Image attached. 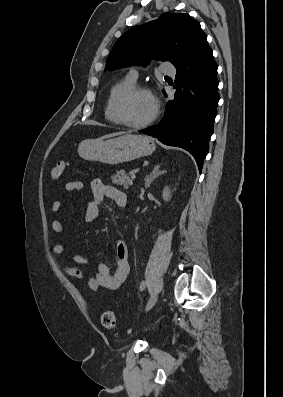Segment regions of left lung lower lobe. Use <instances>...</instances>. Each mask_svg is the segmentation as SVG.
<instances>
[{
  "label": "left lung lower lobe",
  "instance_id": "obj_1",
  "mask_svg": "<svg viewBox=\"0 0 283 397\" xmlns=\"http://www.w3.org/2000/svg\"><path fill=\"white\" fill-rule=\"evenodd\" d=\"M217 64L208 44L176 67L174 99L167 103L162 121L140 133L169 146L181 147L195 158L201 172L209 150L219 101Z\"/></svg>",
  "mask_w": 283,
  "mask_h": 397
}]
</instances>
